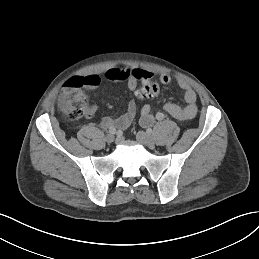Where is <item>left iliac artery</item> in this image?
<instances>
[{"instance_id": "44dca946", "label": "left iliac artery", "mask_w": 259, "mask_h": 259, "mask_svg": "<svg viewBox=\"0 0 259 259\" xmlns=\"http://www.w3.org/2000/svg\"><path fill=\"white\" fill-rule=\"evenodd\" d=\"M164 118H165V115H164L163 113L158 112V113L156 114V119H157V120L161 121V120H163Z\"/></svg>"}]
</instances>
